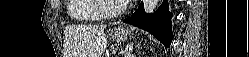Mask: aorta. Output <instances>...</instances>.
I'll use <instances>...</instances> for the list:
<instances>
[{
    "instance_id": "1",
    "label": "aorta",
    "mask_w": 249,
    "mask_h": 57,
    "mask_svg": "<svg viewBox=\"0 0 249 57\" xmlns=\"http://www.w3.org/2000/svg\"><path fill=\"white\" fill-rule=\"evenodd\" d=\"M159 0H144V11L146 14L152 13L157 5Z\"/></svg>"
}]
</instances>
